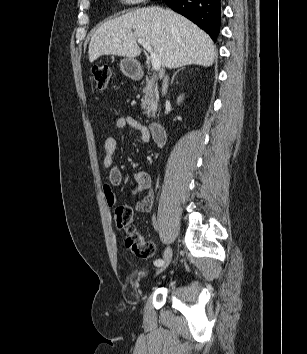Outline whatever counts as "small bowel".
<instances>
[{
    "mask_svg": "<svg viewBox=\"0 0 307 354\" xmlns=\"http://www.w3.org/2000/svg\"><path fill=\"white\" fill-rule=\"evenodd\" d=\"M115 128L123 130L131 128L140 134L141 141L146 142L150 137V131L146 125L131 116L120 117L115 121ZM117 149V140L113 135H109L104 140V158L103 167L109 171L108 181L103 186V192L107 204L112 207L116 204L114 188L122 182L120 170L114 165V153ZM132 180L135 183L133 193L148 191V194L137 202L136 209L140 212H149L154 203V191L152 190V180L146 171H137L132 174Z\"/></svg>",
    "mask_w": 307,
    "mask_h": 354,
    "instance_id": "obj_1",
    "label": "small bowel"
}]
</instances>
